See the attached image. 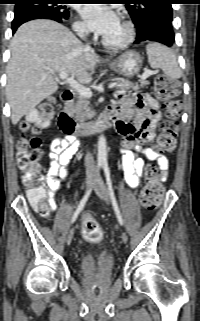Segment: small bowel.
Returning a JSON list of instances; mask_svg holds the SVG:
<instances>
[{
  "label": "small bowel",
  "instance_id": "small-bowel-1",
  "mask_svg": "<svg viewBox=\"0 0 200 321\" xmlns=\"http://www.w3.org/2000/svg\"><path fill=\"white\" fill-rule=\"evenodd\" d=\"M110 110L117 112L116 129L122 136V167L126 182L137 188L145 170L144 158L155 161L161 172L162 180L167 177L169 161L149 146L155 137V129L162 118L159 105L148 94L136 92L126 96L123 92L116 94ZM79 149V142L73 135L55 138L50 145V167L42 176L51 211L57 208L56 195L63 183L69 179V165ZM140 155V156H139Z\"/></svg>",
  "mask_w": 200,
  "mask_h": 321
}]
</instances>
